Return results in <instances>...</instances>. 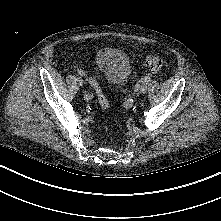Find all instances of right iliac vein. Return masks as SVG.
<instances>
[{
	"label": "right iliac vein",
	"instance_id": "right-iliac-vein-1",
	"mask_svg": "<svg viewBox=\"0 0 221 221\" xmlns=\"http://www.w3.org/2000/svg\"><path fill=\"white\" fill-rule=\"evenodd\" d=\"M77 81H78V84H79L80 86L83 85V80H82V78L79 77V78L77 79Z\"/></svg>",
	"mask_w": 221,
	"mask_h": 221
}]
</instances>
